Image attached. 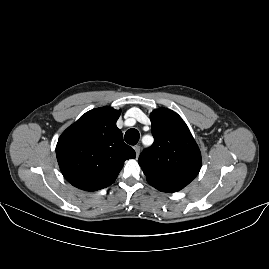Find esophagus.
Listing matches in <instances>:
<instances>
[{
  "mask_svg": "<svg viewBox=\"0 0 269 269\" xmlns=\"http://www.w3.org/2000/svg\"><path fill=\"white\" fill-rule=\"evenodd\" d=\"M140 149H141V148H140L139 145L134 146V150H135V152H136V159H138V157H139Z\"/></svg>",
  "mask_w": 269,
  "mask_h": 269,
  "instance_id": "obj_1",
  "label": "esophagus"
}]
</instances>
